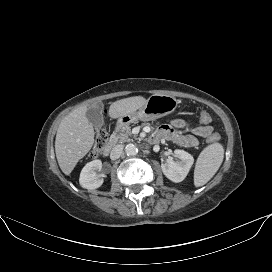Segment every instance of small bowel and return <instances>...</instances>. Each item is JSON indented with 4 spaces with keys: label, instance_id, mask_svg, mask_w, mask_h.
<instances>
[{
    "label": "small bowel",
    "instance_id": "c3829d8e",
    "mask_svg": "<svg viewBox=\"0 0 272 272\" xmlns=\"http://www.w3.org/2000/svg\"><path fill=\"white\" fill-rule=\"evenodd\" d=\"M213 128L210 125L192 126L182 119L162 125L155 133L156 140L165 138L183 147H195L198 138H209Z\"/></svg>",
    "mask_w": 272,
    "mask_h": 272
}]
</instances>
